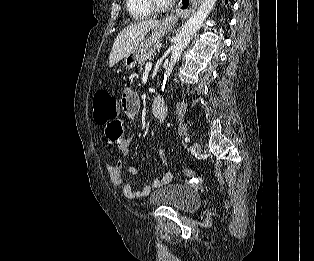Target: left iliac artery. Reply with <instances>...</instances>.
I'll return each mask as SVG.
<instances>
[{
	"mask_svg": "<svg viewBox=\"0 0 314 261\" xmlns=\"http://www.w3.org/2000/svg\"><path fill=\"white\" fill-rule=\"evenodd\" d=\"M185 142H190V138H189V137H186V138H185Z\"/></svg>",
	"mask_w": 314,
	"mask_h": 261,
	"instance_id": "obj_1",
	"label": "left iliac artery"
}]
</instances>
